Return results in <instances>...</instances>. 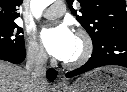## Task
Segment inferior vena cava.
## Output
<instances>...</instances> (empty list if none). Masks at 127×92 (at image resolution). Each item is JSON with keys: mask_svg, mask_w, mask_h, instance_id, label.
Listing matches in <instances>:
<instances>
[{"mask_svg": "<svg viewBox=\"0 0 127 92\" xmlns=\"http://www.w3.org/2000/svg\"><path fill=\"white\" fill-rule=\"evenodd\" d=\"M47 59L46 52L41 48H33L27 53L26 71L30 73L32 80L39 85L47 84Z\"/></svg>", "mask_w": 127, "mask_h": 92, "instance_id": "1", "label": "inferior vena cava"}]
</instances>
